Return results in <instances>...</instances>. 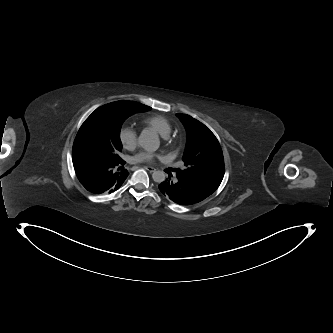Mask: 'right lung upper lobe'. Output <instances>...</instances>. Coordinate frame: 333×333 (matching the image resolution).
I'll return each instance as SVG.
<instances>
[{"label": "right lung upper lobe", "mask_w": 333, "mask_h": 333, "mask_svg": "<svg viewBox=\"0 0 333 333\" xmlns=\"http://www.w3.org/2000/svg\"><path fill=\"white\" fill-rule=\"evenodd\" d=\"M117 102H128L131 106L135 107L138 110L137 113L146 112V111L151 110V107L145 106V105H143L141 103H137V102H133V101L122 100V101H117Z\"/></svg>", "instance_id": "obj_1"}]
</instances>
